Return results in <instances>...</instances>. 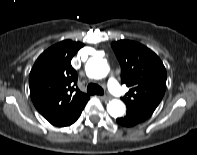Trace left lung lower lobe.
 Wrapping results in <instances>:
<instances>
[{"label": "left lung lower lobe", "instance_id": "obj_1", "mask_svg": "<svg viewBox=\"0 0 197 155\" xmlns=\"http://www.w3.org/2000/svg\"><path fill=\"white\" fill-rule=\"evenodd\" d=\"M143 120H141L140 118L127 113L124 117L121 118H117V122L122 125V126H126V127H131L134 125H137L139 123H141Z\"/></svg>", "mask_w": 197, "mask_h": 155}]
</instances>
